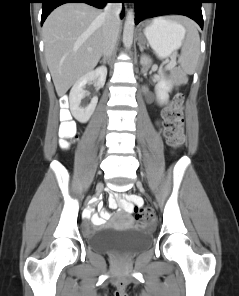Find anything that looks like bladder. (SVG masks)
<instances>
[{
  "label": "bladder",
  "mask_w": 239,
  "mask_h": 296,
  "mask_svg": "<svg viewBox=\"0 0 239 296\" xmlns=\"http://www.w3.org/2000/svg\"><path fill=\"white\" fill-rule=\"evenodd\" d=\"M89 245L102 253L136 254L152 243V234L138 226L124 229L101 227L86 237Z\"/></svg>",
  "instance_id": "obj_1"
}]
</instances>
